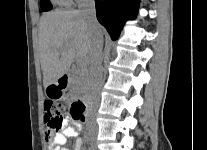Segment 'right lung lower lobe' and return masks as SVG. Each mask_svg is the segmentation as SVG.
Instances as JSON below:
<instances>
[{
  "label": "right lung lower lobe",
  "instance_id": "98d812e1",
  "mask_svg": "<svg viewBox=\"0 0 207 150\" xmlns=\"http://www.w3.org/2000/svg\"><path fill=\"white\" fill-rule=\"evenodd\" d=\"M95 4L98 21L116 40L125 21L136 14L139 0H95Z\"/></svg>",
  "mask_w": 207,
  "mask_h": 150
}]
</instances>
